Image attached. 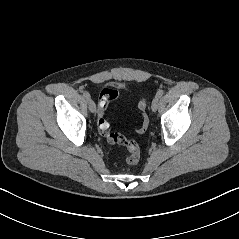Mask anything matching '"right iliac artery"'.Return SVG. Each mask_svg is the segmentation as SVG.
<instances>
[{
    "label": "right iliac artery",
    "mask_w": 239,
    "mask_h": 239,
    "mask_svg": "<svg viewBox=\"0 0 239 239\" xmlns=\"http://www.w3.org/2000/svg\"><path fill=\"white\" fill-rule=\"evenodd\" d=\"M83 96H84L86 99H90V94H89L87 91H85V92L83 93Z\"/></svg>",
    "instance_id": "obj_1"
}]
</instances>
